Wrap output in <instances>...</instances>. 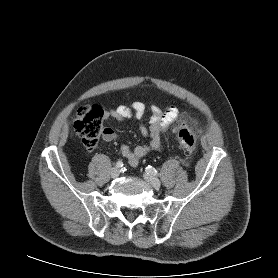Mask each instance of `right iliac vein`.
I'll return each mask as SVG.
<instances>
[{"instance_id": "1", "label": "right iliac vein", "mask_w": 278, "mask_h": 278, "mask_svg": "<svg viewBox=\"0 0 278 278\" xmlns=\"http://www.w3.org/2000/svg\"><path fill=\"white\" fill-rule=\"evenodd\" d=\"M120 174V169L118 167H114L110 171V175L112 178H117Z\"/></svg>"}]
</instances>
